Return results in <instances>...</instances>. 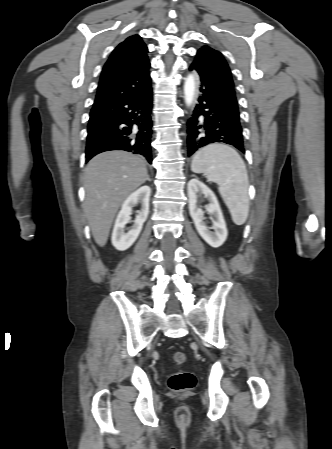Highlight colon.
<instances>
[{
  "label": "colon",
  "instance_id": "1",
  "mask_svg": "<svg viewBox=\"0 0 332 449\" xmlns=\"http://www.w3.org/2000/svg\"><path fill=\"white\" fill-rule=\"evenodd\" d=\"M172 360L176 365L185 363L186 356L183 352L176 351L172 353ZM196 384V377L189 371H177L173 373L168 380L169 388L174 392H186L192 390Z\"/></svg>",
  "mask_w": 332,
  "mask_h": 449
}]
</instances>
